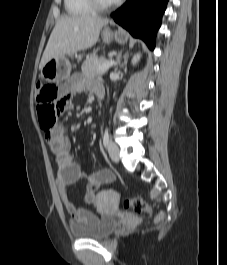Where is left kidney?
<instances>
[{
	"label": "left kidney",
	"mask_w": 227,
	"mask_h": 265,
	"mask_svg": "<svg viewBox=\"0 0 227 265\" xmlns=\"http://www.w3.org/2000/svg\"><path fill=\"white\" fill-rule=\"evenodd\" d=\"M140 59V54H136L133 56L132 63L133 65L136 64Z\"/></svg>",
	"instance_id": "5707ae66"
}]
</instances>
